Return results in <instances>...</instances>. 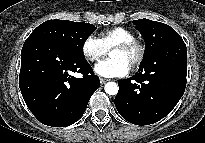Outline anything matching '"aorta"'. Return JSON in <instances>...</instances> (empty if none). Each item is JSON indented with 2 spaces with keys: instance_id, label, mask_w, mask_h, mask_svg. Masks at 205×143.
<instances>
[{
  "instance_id": "1",
  "label": "aorta",
  "mask_w": 205,
  "mask_h": 143,
  "mask_svg": "<svg viewBox=\"0 0 205 143\" xmlns=\"http://www.w3.org/2000/svg\"><path fill=\"white\" fill-rule=\"evenodd\" d=\"M105 92L109 95H116L118 93L119 87L115 82H108L105 84Z\"/></svg>"
}]
</instances>
